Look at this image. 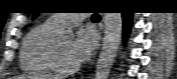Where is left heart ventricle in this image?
Here are the masks:
<instances>
[{
  "label": "left heart ventricle",
  "instance_id": "obj_1",
  "mask_svg": "<svg viewBox=\"0 0 177 79\" xmlns=\"http://www.w3.org/2000/svg\"><path fill=\"white\" fill-rule=\"evenodd\" d=\"M74 27H76V25L72 26V28ZM71 45V40L61 41L57 44L61 60L67 67H72L77 64L71 55Z\"/></svg>",
  "mask_w": 177,
  "mask_h": 79
}]
</instances>
